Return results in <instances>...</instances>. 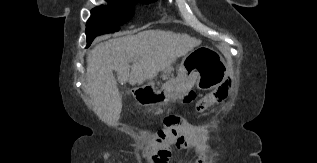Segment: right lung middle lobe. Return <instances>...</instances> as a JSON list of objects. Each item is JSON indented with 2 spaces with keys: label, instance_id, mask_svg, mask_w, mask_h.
Returning a JSON list of instances; mask_svg holds the SVG:
<instances>
[{
  "label": "right lung middle lobe",
  "instance_id": "obj_1",
  "mask_svg": "<svg viewBox=\"0 0 317 163\" xmlns=\"http://www.w3.org/2000/svg\"><path fill=\"white\" fill-rule=\"evenodd\" d=\"M108 6H99L91 10V17L87 21V46L101 34L113 33L119 30V25L133 16L135 0H106ZM150 3L155 0H136Z\"/></svg>",
  "mask_w": 317,
  "mask_h": 163
}]
</instances>
